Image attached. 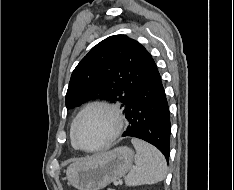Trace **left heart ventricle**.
Instances as JSON below:
<instances>
[{"label":"left heart ventricle","instance_id":"b2bd125f","mask_svg":"<svg viewBox=\"0 0 234 190\" xmlns=\"http://www.w3.org/2000/svg\"><path fill=\"white\" fill-rule=\"evenodd\" d=\"M114 128L111 116L102 109L87 112L77 128V140L80 145L91 148L105 141Z\"/></svg>","mask_w":234,"mask_h":190}]
</instances>
